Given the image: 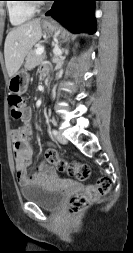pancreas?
Instances as JSON below:
<instances>
[{
	"label": "pancreas",
	"mask_w": 133,
	"mask_h": 253,
	"mask_svg": "<svg viewBox=\"0 0 133 253\" xmlns=\"http://www.w3.org/2000/svg\"><path fill=\"white\" fill-rule=\"evenodd\" d=\"M36 50L33 49L27 54L25 67L28 70L35 68L45 58V55H36Z\"/></svg>",
	"instance_id": "1"
}]
</instances>
